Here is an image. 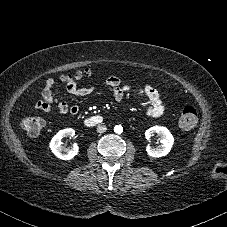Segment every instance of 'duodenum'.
<instances>
[{"mask_svg":"<svg viewBox=\"0 0 227 227\" xmlns=\"http://www.w3.org/2000/svg\"><path fill=\"white\" fill-rule=\"evenodd\" d=\"M85 124L89 127L101 124L103 122V117L100 115H93L85 119Z\"/></svg>","mask_w":227,"mask_h":227,"instance_id":"obj_1","label":"duodenum"}]
</instances>
